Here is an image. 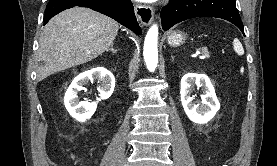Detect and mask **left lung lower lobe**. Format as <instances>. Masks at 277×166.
<instances>
[{
  "label": "left lung lower lobe",
  "instance_id": "obj_1",
  "mask_svg": "<svg viewBox=\"0 0 277 166\" xmlns=\"http://www.w3.org/2000/svg\"><path fill=\"white\" fill-rule=\"evenodd\" d=\"M195 17L225 19L236 25L244 34L235 0H171L161 11L162 27L165 31L181 21Z\"/></svg>",
  "mask_w": 277,
  "mask_h": 166
}]
</instances>
